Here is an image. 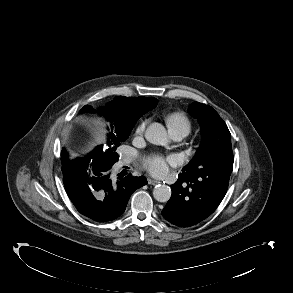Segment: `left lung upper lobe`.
Segmentation results:
<instances>
[{
	"label": "left lung upper lobe",
	"mask_w": 293,
	"mask_h": 293,
	"mask_svg": "<svg viewBox=\"0 0 293 293\" xmlns=\"http://www.w3.org/2000/svg\"><path fill=\"white\" fill-rule=\"evenodd\" d=\"M188 110L201 125L202 142L193 159L183 168L182 173L202 171L231 173L234 162L231 134L223 119L211 106L199 102H193Z\"/></svg>",
	"instance_id": "1"
}]
</instances>
